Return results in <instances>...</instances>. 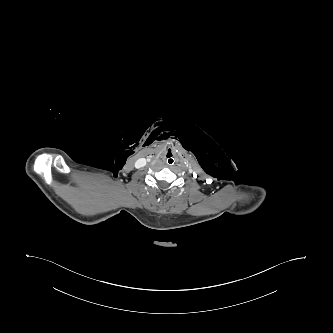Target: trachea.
<instances>
[{
    "mask_svg": "<svg viewBox=\"0 0 333 333\" xmlns=\"http://www.w3.org/2000/svg\"><path fill=\"white\" fill-rule=\"evenodd\" d=\"M163 161H164L167 165H172V164L176 161V156H175L172 152H167V153L163 156Z\"/></svg>",
    "mask_w": 333,
    "mask_h": 333,
    "instance_id": "3493384b",
    "label": "trachea"
}]
</instances>
